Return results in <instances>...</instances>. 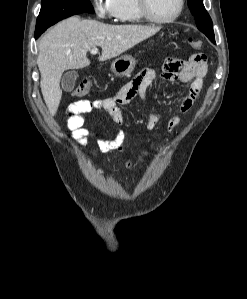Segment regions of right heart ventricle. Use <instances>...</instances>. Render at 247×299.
<instances>
[{
  "label": "right heart ventricle",
  "mask_w": 247,
  "mask_h": 299,
  "mask_svg": "<svg viewBox=\"0 0 247 299\" xmlns=\"http://www.w3.org/2000/svg\"><path fill=\"white\" fill-rule=\"evenodd\" d=\"M113 17L122 23H141L137 0H112Z\"/></svg>",
  "instance_id": "e07e8e85"
}]
</instances>
